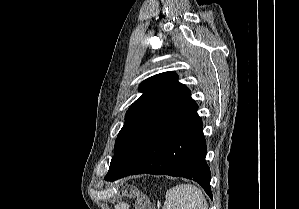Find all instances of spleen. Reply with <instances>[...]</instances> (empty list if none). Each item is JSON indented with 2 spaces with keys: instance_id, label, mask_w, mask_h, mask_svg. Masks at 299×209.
<instances>
[{
  "instance_id": "3e777b00",
  "label": "spleen",
  "mask_w": 299,
  "mask_h": 209,
  "mask_svg": "<svg viewBox=\"0 0 299 209\" xmlns=\"http://www.w3.org/2000/svg\"><path fill=\"white\" fill-rule=\"evenodd\" d=\"M163 209H208V204L199 188L179 184L166 192Z\"/></svg>"
}]
</instances>
